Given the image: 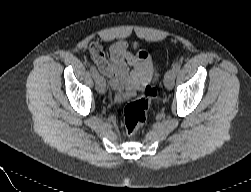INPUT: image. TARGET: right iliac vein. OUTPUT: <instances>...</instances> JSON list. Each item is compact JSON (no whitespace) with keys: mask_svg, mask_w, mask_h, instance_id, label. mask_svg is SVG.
Masks as SVG:
<instances>
[{"mask_svg":"<svg viewBox=\"0 0 251 192\" xmlns=\"http://www.w3.org/2000/svg\"><path fill=\"white\" fill-rule=\"evenodd\" d=\"M95 84H96V90L104 94L106 91V82L102 76H98L97 79H95Z\"/></svg>","mask_w":251,"mask_h":192,"instance_id":"1","label":"right iliac vein"}]
</instances>
